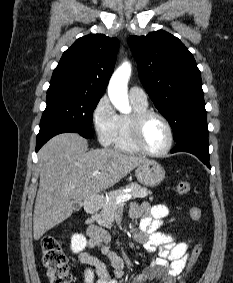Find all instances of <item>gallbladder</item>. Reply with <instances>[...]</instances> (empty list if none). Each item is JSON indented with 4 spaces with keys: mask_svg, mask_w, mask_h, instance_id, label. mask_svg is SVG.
Masks as SVG:
<instances>
[{
    "mask_svg": "<svg viewBox=\"0 0 233 283\" xmlns=\"http://www.w3.org/2000/svg\"><path fill=\"white\" fill-rule=\"evenodd\" d=\"M75 210H79L81 207H82V203L81 202H78L75 204Z\"/></svg>",
    "mask_w": 233,
    "mask_h": 283,
    "instance_id": "1",
    "label": "gallbladder"
}]
</instances>
